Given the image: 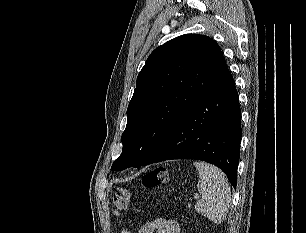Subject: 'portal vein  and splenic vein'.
<instances>
[{"instance_id":"portal-vein-and-splenic-vein-1","label":"portal vein and splenic vein","mask_w":306,"mask_h":233,"mask_svg":"<svg viewBox=\"0 0 306 233\" xmlns=\"http://www.w3.org/2000/svg\"><path fill=\"white\" fill-rule=\"evenodd\" d=\"M194 198H195V199H198V198H199V196L196 194V195H194Z\"/></svg>"}]
</instances>
